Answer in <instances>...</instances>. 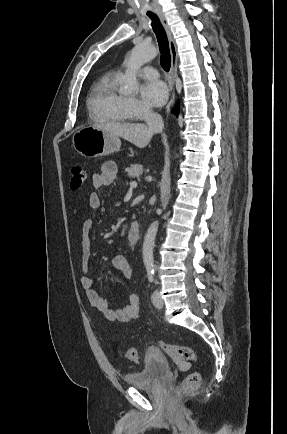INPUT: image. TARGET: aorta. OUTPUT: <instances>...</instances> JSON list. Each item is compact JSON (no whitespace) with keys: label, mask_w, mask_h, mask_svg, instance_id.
I'll use <instances>...</instances> for the list:
<instances>
[{"label":"aorta","mask_w":287,"mask_h":434,"mask_svg":"<svg viewBox=\"0 0 287 434\" xmlns=\"http://www.w3.org/2000/svg\"><path fill=\"white\" fill-rule=\"evenodd\" d=\"M157 49L152 45L137 44L132 49L126 61V71L123 76V86L126 93H132L138 87L137 71L147 62L154 59ZM158 221L153 222L147 230L143 243V262L148 273L154 272L153 250L158 231Z\"/></svg>","instance_id":"1"}]
</instances>
